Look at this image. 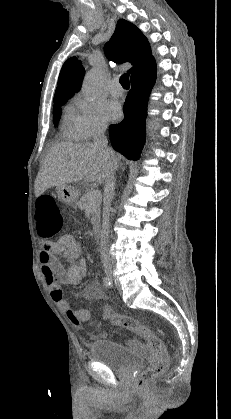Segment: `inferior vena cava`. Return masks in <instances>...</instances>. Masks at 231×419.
Masks as SVG:
<instances>
[{"label":"inferior vena cava","mask_w":231,"mask_h":419,"mask_svg":"<svg viewBox=\"0 0 231 419\" xmlns=\"http://www.w3.org/2000/svg\"><path fill=\"white\" fill-rule=\"evenodd\" d=\"M106 125L102 124L98 127L95 132L93 139V147L99 149L111 162V168L108 172L104 186V208H103V220L100 240V255L104 266H110L111 258L109 253V216L112 210L111 201L114 196L115 190V170L117 169V163L114 161V152L108 148V142L104 135Z\"/></svg>","instance_id":"inferior-vena-cava-1"}]
</instances>
